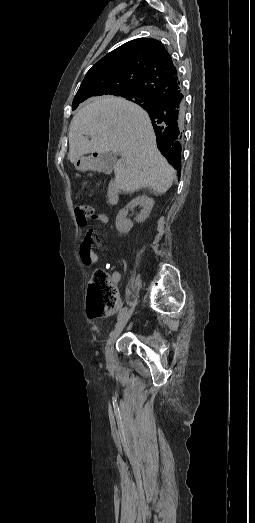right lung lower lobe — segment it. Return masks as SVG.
I'll use <instances>...</instances> for the list:
<instances>
[{
	"label": "right lung lower lobe",
	"mask_w": 255,
	"mask_h": 523,
	"mask_svg": "<svg viewBox=\"0 0 255 523\" xmlns=\"http://www.w3.org/2000/svg\"><path fill=\"white\" fill-rule=\"evenodd\" d=\"M180 108V103L173 100L161 103L150 112L151 117L154 119L156 130L153 133V140L164 146V152L167 155H174L181 150V142L178 139H172L180 135V126L177 118V112ZM180 169L177 170L179 174Z\"/></svg>",
	"instance_id": "right-lung-lower-lobe-1"
}]
</instances>
